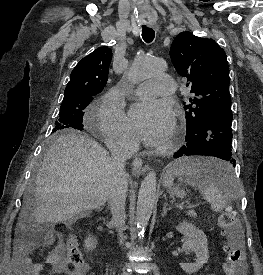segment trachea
Segmentation results:
<instances>
[{"mask_svg":"<svg viewBox=\"0 0 263 275\" xmlns=\"http://www.w3.org/2000/svg\"><path fill=\"white\" fill-rule=\"evenodd\" d=\"M155 37V32L152 28L143 27L142 28V38L145 42L150 43Z\"/></svg>","mask_w":263,"mask_h":275,"instance_id":"obj_1","label":"trachea"}]
</instances>
